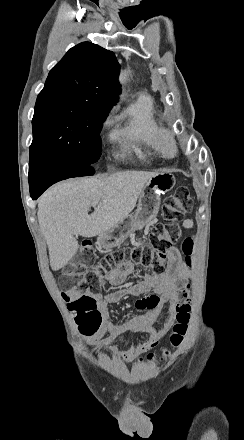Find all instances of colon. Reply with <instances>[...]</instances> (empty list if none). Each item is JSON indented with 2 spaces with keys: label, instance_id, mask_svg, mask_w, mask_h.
I'll return each mask as SVG.
<instances>
[{
  "label": "colon",
  "instance_id": "obj_1",
  "mask_svg": "<svg viewBox=\"0 0 244 440\" xmlns=\"http://www.w3.org/2000/svg\"><path fill=\"white\" fill-rule=\"evenodd\" d=\"M192 198L187 189H179L175 197L166 199L162 206V221L159 222L149 237V245L115 249L106 254L100 261L95 255V248L91 242L83 246L81 260L83 262H65L66 275H59L58 282L69 294H80L72 299L68 310L73 319H100L101 311L95 310L97 299L91 294H98L102 287L101 276L103 271L119 265L128 259L135 264L146 268H153L163 272L167 258V250L178 241L180 236V223L185 215L190 212ZM181 251L190 261L194 252V240L186 238L182 243ZM96 267L97 271L93 270ZM86 271L85 277L82 272ZM91 293V294H90ZM84 294V295H83ZM190 289L185 288L178 292L177 299L172 305L175 313V324L169 343L165 344L159 352H149L145 358L137 360L138 363L146 362L150 366H157L179 347L187 334L191 320ZM67 301L68 297L64 294Z\"/></svg>",
  "mask_w": 244,
  "mask_h": 440
}]
</instances>
